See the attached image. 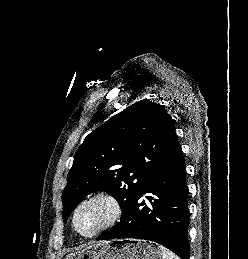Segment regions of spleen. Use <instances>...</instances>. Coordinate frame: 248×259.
Returning a JSON list of instances; mask_svg holds the SVG:
<instances>
[{
    "label": "spleen",
    "instance_id": "1",
    "mask_svg": "<svg viewBox=\"0 0 248 259\" xmlns=\"http://www.w3.org/2000/svg\"><path fill=\"white\" fill-rule=\"evenodd\" d=\"M162 251V258L163 259H180L177 255H175L172 251L165 248L164 246H160Z\"/></svg>",
    "mask_w": 248,
    "mask_h": 259
}]
</instances>
